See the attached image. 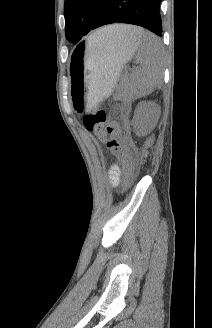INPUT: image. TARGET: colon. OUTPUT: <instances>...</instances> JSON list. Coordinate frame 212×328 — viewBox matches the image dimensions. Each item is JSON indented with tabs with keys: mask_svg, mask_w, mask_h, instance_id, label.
<instances>
[{
	"mask_svg": "<svg viewBox=\"0 0 212 328\" xmlns=\"http://www.w3.org/2000/svg\"><path fill=\"white\" fill-rule=\"evenodd\" d=\"M84 125L103 142L111 153L120 156L125 163L122 190L125 191L133 181L139 165L138 158H132L124 147V135L116 122L107 119L104 110L89 113L84 117Z\"/></svg>",
	"mask_w": 212,
	"mask_h": 328,
	"instance_id": "colon-1",
	"label": "colon"
}]
</instances>
